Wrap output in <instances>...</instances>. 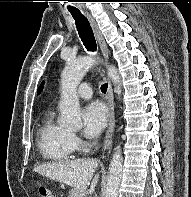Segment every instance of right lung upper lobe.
I'll list each match as a JSON object with an SVG mask.
<instances>
[{
    "label": "right lung upper lobe",
    "mask_w": 191,
    "mask_h": 197,
    "mask_svg": "<svg viewBox=\"0 0 191 197\" xmlns=\"http://www.w3.org/2000/svg\"><path fill=\"white\" fill-rule=\"evenodd\" d=\"M43 84H44V82H42V83H41V86L38 88V91H37L38 94L41 93V91H42V89H43Z\"/></svg>",
    "instance_id": "cb5924a9"
}]
</instances>
